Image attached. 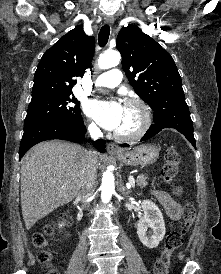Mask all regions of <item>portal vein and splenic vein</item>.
Returning a JSON list of instances; mask_svg holds the SVG:
<instances>
[{
    "instance_id": "portal-vein-and-splenic-vein-1",
    "label": "portal vein and splenic vein",
    "mask_w": 221,
    "mask_h": 274,
    "mask_svg": "<svg viewBox=\"0 0 221 274\" xmlns=\"http://www.w3.org/2000/svg\"><path fill=\"white\" fill-rule=\"evenodd\" d=\"M129 184H130V186H132V187L135 186V181H134V179H133L132 176H130V178H129Z\"/></svg>"
}]
</instances>
